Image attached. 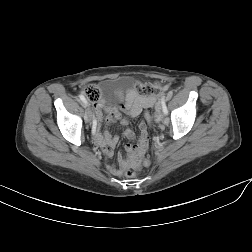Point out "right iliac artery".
<instances>
[{"instance_id": "1", "label": "right iliac artery", "mask_w": 252, "mask_h": 252, "mask_svg": "<svg viewBox=\"0 0 252 252\" xmlns=\"http://www.w3.org/2000/svg\"><path fill=\"white\" fill-rule=\"evenodd\" d=\"M81 101L83 102V106L86 107L87 106V101L85 99V97L83 95L79 96ZM98 123V120L96 118H93V122L91 123V125L89 126V131L91 135H95L96 131L94 130L96 128V125Z\"/></svg>"}]
</instances>
